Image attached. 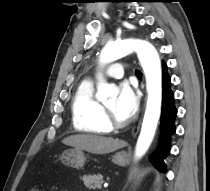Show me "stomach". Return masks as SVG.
Here are the masks:
<instances>
[{
  "instance_id": "obj_1",
  "label": "stomach",
  "mask_w": 210,
  "mask_h": 191,
  "mask_svg": "<svg viewBox=\"0 0 210 191\" xmlns=\"http://www.w3.org/2000/svg\"><path fill=\"white\" fill-rule=\"evenodd\" d=\"M60 160L64 165L77 169L82 168L85 164L84 153L79 149L65 151ZM112 161L119 166H125L128 162V156L125 152H118L113 156Z\"/></svg>"
}]
</instances>
